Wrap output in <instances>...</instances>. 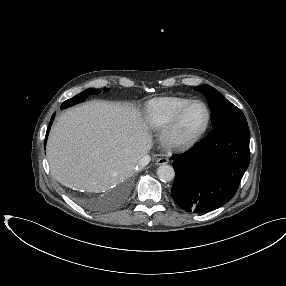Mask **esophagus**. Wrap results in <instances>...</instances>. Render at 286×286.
Here are the masks:
<instances>
[{"instance_id": "34e87169", "label": "esophagus", "mask_w": 286, "mask_h": 286, "mask_svg": "<svg viewBox=\"0 0 286 286\" xmlns=\"http://www.w3.org/2000/svg\"><path fill=\"white\" fill-rule=\"evenodd\" d=\"M167 163H169V159L165 158V157L159 158L156 161V165H164V164H167Z\"/></svg>"}]
</instances>
